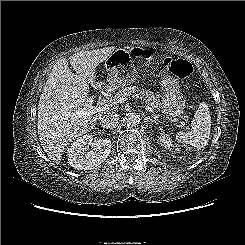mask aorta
Segmentation results:
<instances>
[{
  "label": "aorta",
  "instance_id": "762f6f07",
  "mask_svg": "<svg viewBox=\"0 0 245 245\" xmlns=\"http://www.w3.org/2000/svg\"><path fill=\"white\" fill-rule=\"evenodd\" d=\"M123 122L128 126V127H132V126H136L139 122V117L137 114L133 113V112H129L126 113L124 118H123Z\"/></svg>",
  "mask_w": 245,
  "mask_h": 245
}]
</instances>
